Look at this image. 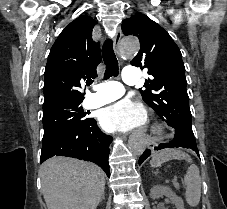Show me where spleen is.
Returning <instances> with one entry per match:
<instances>
[{"instance_id": "obj_1", "label": "spleen", "mask_w": 227, "mask_h": 209, "mask_svg": "<svg viewBox=\"0 0 227 209\" xmlns=\"http://www.w3.org/2000/svg\"><path fill=\"white\" fill-rule=\"evenodd\" d=\"M172 159H180V161L189 163L190 167H188L184 177L185 199L190 207H197L201 197V177L197 165H192L193 161L187 153L180 151V149H163V151H158L156 155H153L150 165L151 167H161L162 163H167Z\"/></svg>"}]
</instances>
